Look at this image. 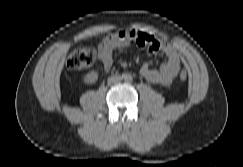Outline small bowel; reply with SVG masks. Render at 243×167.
Returning a JSON list of instances; mask_svg holds the SVG:
<instances>
[{"mask_svg":"<svg viewBox=\"0 0 243 167\" xmlns=\"http://www.w3.org/2000/svg\"><path fill=\"white\" fill-rule=\"evenodd\" d=\"M119 33L118 39L112 42H102L98 46V56L104 70L109 71L112 68L113 55L116 50L136 44L138 47L145 48L149 54L157 52L165 54L167 59L158 69L151 68L149 63H145L140 69V74L152 84L170 86L181 70V60L176 48L146 31L128 29Z\"/></svg>","mask_w":243,"mask_h":167,"instance_id":"1","label":"small bowel"}]
</instances>
